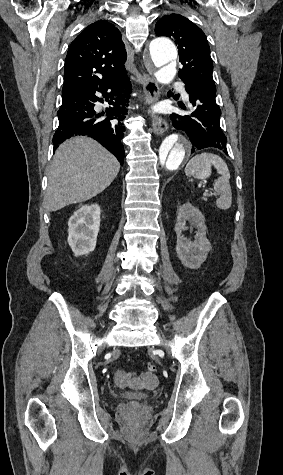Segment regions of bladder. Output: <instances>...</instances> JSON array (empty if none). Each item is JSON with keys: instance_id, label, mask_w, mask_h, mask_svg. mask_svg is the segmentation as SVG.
<instances>
[{"instance_id": "31cf9c89", "label": "bladder", "mask_w": 283, "mask_h": 475, "mask_svg": "<svg viewBox=\"0 0 283 475\" xmlns=\"http://www.w3.org/2000/svg\"><path fill=\"white\" fill-rule=\"evenodd\" d=\"M117 398L120 400H124V404H128V406H141L144 405L147 400H149V398L144 395L137 397L133 393L117 394Z\"/></svg>"}]
</instances>
